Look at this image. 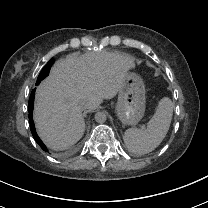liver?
Listing matches in <instances>:
<instances>
[{"label": "liver", "instance_id": "obj_1", "mask_svg": "<svg viewBox=\"0 0 208 208\" xmlns=\"http://www.w3.org/2000/svg\"><path fill=\"white\" fill-rule=\"evenodd\" d=\"M134 61L129 54L106 51L58 60L36 91L34 121L44 143L54 150L77 143L85 130L82 107L94 110L113 98Z\"/></svg>", "mask_w": 208, "mask_h": 208}]
</instances>
